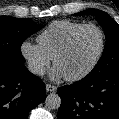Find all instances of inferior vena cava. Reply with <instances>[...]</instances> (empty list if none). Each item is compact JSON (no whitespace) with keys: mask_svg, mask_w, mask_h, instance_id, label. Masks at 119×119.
<instances>
[{"mask_svg":"<svg viewBox=\"0 0 119 119\" xmlns=\"http://www.w3.org/2000/svg\"><path fill=\"white\" fill-rule=\"evenodd\" d=\"M27 68L33 74L42 75L45 72V68L37 63H29Z\"/></svg>","mask_w":119,"mask_h":119,"instance_id":"602c4592","label":"inferior vena cava"}]
</instances>
